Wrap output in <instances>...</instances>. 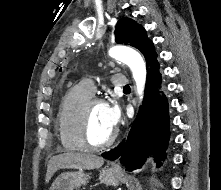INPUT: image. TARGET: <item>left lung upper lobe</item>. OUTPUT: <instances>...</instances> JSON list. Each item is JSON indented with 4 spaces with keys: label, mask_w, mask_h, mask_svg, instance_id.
I'll return each instance as SVG.
<instances>
[{
    "label": "left lung upper lobe",
    "mask_w": 221,
    "mask_h": 190,
    "mask_svg": "<svg viewBox=\"0 0 221 190\" xmlns=\"http://www.w3.org/2000/svg\"><path fill=\"white\" fill-rule=\"evenodd\" d=\"M117 43L131 45L139 49L146 59L147 69L156 61L154 44L147 38L145 29L130 18H121L116 25Z\"/></svg>",
    "instance_id": "5c2ea615"
}]
</instances>
